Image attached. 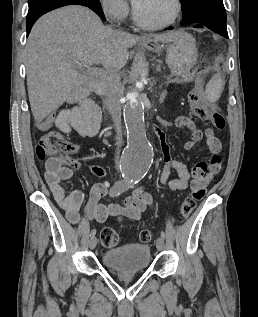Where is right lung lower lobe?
I'll list each match as a JSON object with an SVG mask.
<instances>
[{
	"label": "right lung lower lobe",
	"instance_id": "right-lung-lower-lobe-1",
	"mask_svg": "<svg viewBox=\"0 0 258 317\" xmlns=\"http://www.w3.org/2000/svg\"><path fill=\"white\" fill-rule=\"evenodd\" d=\"M74 4L90 8L98 14L102 20H105L99 0H28L29 10L26 23L27 36L29 35L33 24L43 14L62 6Z\"/></svg>",
	"mask_w": 258,
	"mask_h": 317
}]
</instances>
